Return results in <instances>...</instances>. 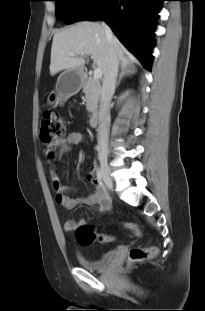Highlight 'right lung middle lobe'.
Segmentation results:
<instances>
[{
	"label": "right lung middle lobe",
	"instance_id": "obj_1",
	"mask_svg": "<svg viewBox=\"0 0 205 311\" xmlns=\"http://www.w3.org/2000/svg\"><path fill=\"white\" fill-rule=\"evenodd\" d=\"M56 3V17L67 24L83 21L93 14L103 0H53Z\"/></svg>",
	"mask_w": 205,
	"mask_h": 311
}]
</instances>
